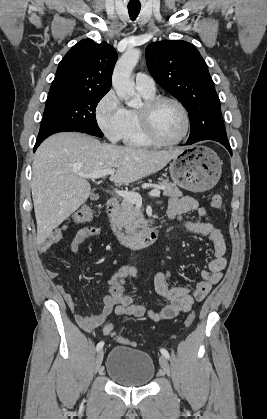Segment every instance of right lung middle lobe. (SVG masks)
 <instances>
[{
  "mask_svg": "<svg viewBox=\"0 0 267 419\" xmlns=\"http://www.w3.org/2000/svg\"><path fill=\"white\" fill-rule=\"evenodd\" d=\"M106 93L57 92L49 93L43 119L65 125L74 131L102 137L95 110Z\"/></svg>",
  "mask_w": 267,
  "mask_h": 419,
  "instance_id": "right-lung-middle-lobe-1",
  "label": "right lung middle lobe"
}]
</instances>
